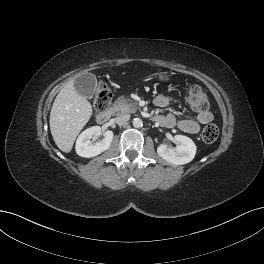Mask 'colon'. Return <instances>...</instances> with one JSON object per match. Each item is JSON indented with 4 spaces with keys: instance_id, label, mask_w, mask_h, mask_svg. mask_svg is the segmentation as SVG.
Listing matches in <instances>:
<instances>
[{
    "instance_id": "1",
    "label": "colon",
    "mask_w": 264,
    "mask_h": 264,
    "mask_svg": "<svg viewBox=\"0 0 264 264\" xmlns=\"http://www.w3.org/2000/svg\"><path fill=\"white\" fill-rule=\"evenodd\" d=\"M111 92L105 85H101L96 93L95 108L97 111L106 109L111 101ZM186 102L196 112H205L208 110L209 103L207 96L203 89L198 85L189 87L186 96ZM202 139L206 143H212L217 140L219 136V129L215 124H208L202 130Z\"/></svg>"
}]
</instances>
